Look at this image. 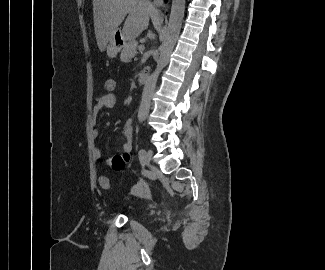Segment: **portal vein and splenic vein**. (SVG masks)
<instances>
[{"label": "portal vein and splenic vein", "instance_id": "portal-vein-and-splenic-vein-1", "mask_svg": "<svg viewBox=\"0 0 325 270\" xmlns=\"http://www.w3.org/2000/svg\"><path fill=\"white\" fill-rule=\"evenodd\" d=\"M138 49H139V50H144L145 47H144V45H140V46L138 47Z\"/></svg>", "mask_w": 325, "mask_h": 270}]
</instances>
